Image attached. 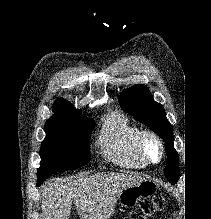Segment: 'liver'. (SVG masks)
<instances>
[{"label": "liver", "instance_id": "obj_1", "mask_svg": "<svg viewBox=\"0 0 211 219\" xmlns=\"http://www.w3.org/2000/svg\"><path fill=\"white\" fill-rule=\"evenodd\" d=\"M131 174L101 173L71 181L49 180L42 187L43 219H68L74 203L82 219H108L119 194L143 182Z\"/></svg>", "mask_w": 211, "mask_h": 219}]
</instances>
